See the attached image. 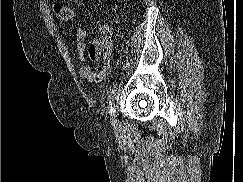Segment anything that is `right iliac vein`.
Segmentation results:
<instances>
[{"instance_id": "1", "label": "right iliac vein", "mask_w": 243, "mask_h": 182, "mask_svg": "<svg viewBox=\"0 0 243 182\" xmlns=\"http://www.w3.org/2000/svg\"><path fill=\"white\" fill-rule=\"evenodd\" d=\"M113 110H114V109H113ZM114 113H115V110H114ZM112 118H113V120L116 122L115 114H113Z\"/></svg>"}]
</instances>
